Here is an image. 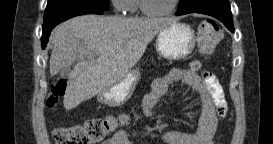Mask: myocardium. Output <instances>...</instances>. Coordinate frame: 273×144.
Instances as JSON below:
<instances>
[{
  "mask_svg": "<svg viewBox=\"0 0 273 144\" xmlns=\"http://www.w3.org/2000/svg\"><path fill=\"white\" fill-rule=\"evenodd\" d=\"M180 0H173L170 8L166 10H153L148 6V0H140V9L141 11L149 16H164L171 14L178 6Z\"/></svg>",
  "mask_w": 273,
  "mask_h": 144,
  "instance_id": "myocardium-1",
  "label": "myocardium"
}]
</instances>
